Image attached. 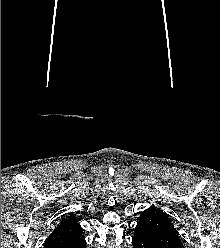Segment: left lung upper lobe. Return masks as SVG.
<instances>
[{"label":"left lung upper lobe","mask_w":220,"mask_h":248,"mask_svg":"<svg viewBox=\"0 0 220 248\" xmlns=\"http://www.w3.org/2000/svg\"><path fill=\"white\" fill-rule=\"evenodd\" d=\"M136 227L143 228L163 248H183L179 233L169 216L156 207L141 213Z\"/></svg>","instance_id":"5c2ea615"}]
</instances>
